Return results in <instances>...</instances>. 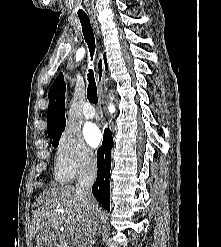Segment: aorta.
Segmentation results:
<instances>
[{
  "label": "aorta",
  "instance_id": "762f6f07",
  "mask_svg": "<svg viewBox=\"0 0 221 247\" xmlns=\"http://www.w3.org/2000/svg\"><path fill=\"white\" fill-rule=\"evenodd\" d=\"M113 99V98H112ZM110 111L113 112L115 110L114 106L112 104H110V107H109Z\"/></svg>",
  "mask_w": 221,
  "mask_h": 247
}]
</instances>
